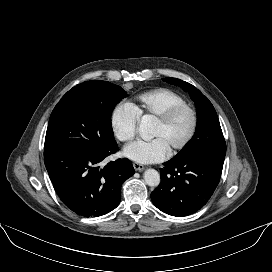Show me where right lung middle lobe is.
<instances>
[{
  "label": "right lung middle lobe",
  "mask_w": 272,
  "mask_h": 272,
  "mask_svg": "<svg viewBox=\"0 0 272 272\" xmlns=\"http://www.w3.org/2000/svg\"><path fill=\"white\" fill-rule=\"evenodd\" d=\"M126 91L107 81H86L55 106L45 137L44 156L69 146L102 149L114 144L111 112Z\"/></svg>",
  "instance_id": "right-lung-middle-lobe-1"
}]
</instances>
